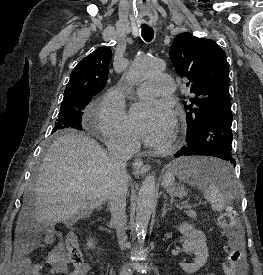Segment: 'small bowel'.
Wrapping results in <instances>:
<instances>
[{
    "instance_id": "c3829d8e",
    "label": "small bowel",
    "mask_w": 263,
    "mask_h": 275,
    "mask_svg": "<svg viewBox=\"0 0 263 275\" xmlns=\"http://www.w3.org/2000/svg\"><path fill=\"white\" fill-rule=\"evenodd\" d=\"M54 240V234L52 231H47L44 237V245H49ZM40 245L36 243H30L24 245L21 255L19 256V264L22 275H42L43 265L33 262L31 258L27 256L32 250L40 248ZM46 262L50 265V275H58L67 273L68 275H86L88 266L85 264L83 267H73L71 271L68 270L70 265L67 256L64 253L62 245H56L47 255ZM47 274V275H48ZM214 275V274H206Z\"/></svg>"
}]
</instances>
